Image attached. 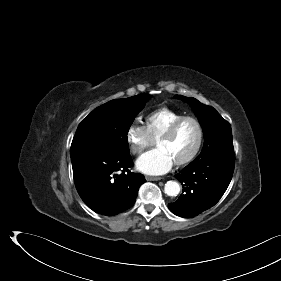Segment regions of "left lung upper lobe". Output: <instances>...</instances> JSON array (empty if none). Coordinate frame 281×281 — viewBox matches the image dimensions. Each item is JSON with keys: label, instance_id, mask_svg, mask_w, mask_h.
I'll use <instances>...</instances> for the list:
<instances>
[{"label": "left lung upper lobe", "instance_id": "obj_1", "mask_svg": "<svg viewBox=\"0 0 281 281\" xmlns=\"http://www.w3.org/2000/svg\"><path fill=\"white\" fill-rule=\"evenodd\" d=\"M174 97L191 105L203 127L204 146L197 158L219 154L234 155L231 126L213 107L204 105L195 98L182 95Z\"/></svg>", "mask_w": 281, "mask_h": 281}]
</instances>
